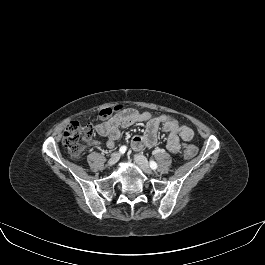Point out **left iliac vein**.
<instances>
[{"instance_id":"4c4485c4","label":"left iliac vein","mask_w":265,"mask_h":265,"mask_svg":"<svg viewBox=\"0 0 265 265\" xmlns=\"http://www.w3.org/2000/svg\"><path fill=\"white\" fill-rule=\"evenodd\" d=\"M134 160L143 172H145L146 174H149V175L153 174V171L149 167L148 161H147L145 156H143L141 154H136L134 156Z\"/></svg>"}]
</instances>
